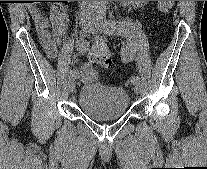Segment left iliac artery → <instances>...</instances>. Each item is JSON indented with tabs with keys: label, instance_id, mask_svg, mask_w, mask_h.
<instances>
[{
	"label": "left iliac artery",
	"instance_id": "44dca946",
	"mask_svg": "<svg viewBox=\"0 0 207 169\" xmlns=\"http://www.w3.org/2000/svg\"><path fill=\"white\" fill-rule=\"evenodd\" d=\"M99 16L102 21V24L107 27V30L112 31L117 35H123L128 32L130 24L125 22L115 21V20H107L104 8H101ZM126 45L127 46H123V49H121V58L123 64H128V61L132 60L131 47L128 46L129 45L128 43ZM130 82L132 84H135L137 82H140V78L138 76H132Z\"/></svg>",
	"mask_w": 207,
	"mask_h": 169
}]
</instances>
